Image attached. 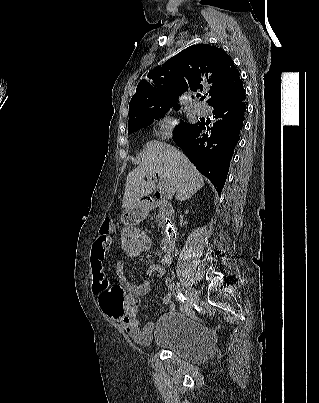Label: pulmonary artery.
I'll use <instances>...</instances> for the list:
<instances>
[{
	"instance_id": "pulmonary-artery-1",
	"label": "pulmonary artery",
	"mask_w": 319,
	"mask_h": 403,
	"mask_svg": "<svg viewBox=\"0 0 319 403\" xmlns=\"http://www.w3.org/2000/svg\"><path fill=\"white\" fill-rule=\"evenodd\" d=\"M195 109H196L197 113H199L201 115H206L208 113V106L203 103L196 104Z\"/></svg>"
}]
</instances>
